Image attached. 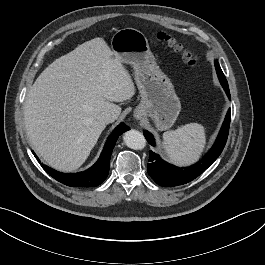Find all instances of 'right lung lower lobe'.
<instances>
[{"mask_svg":"<svg viewBox=\"0 0 265 265\" xmlns=\"http://www.w3.org/2000/svg\"><path fill=\"white\" fill-rule=\"evenodd\" d=\"M130 128L121 123L109 136L98 161L89 169L79 173H62L40 163L43 169L55 180L72 187L98 186L107 178L109 173L110 157L118 137ZM36 157L35 153L33 152Z\"/></svg>","mask_w":265,"mask_h":265,"instance_id":"1","label":"right lung lower lobe"}]
</instances>
